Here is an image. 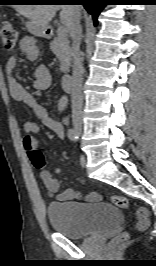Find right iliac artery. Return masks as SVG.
Wrapping results in <instances>:
<instances>
[{"instance_id":"obj_1","label":"right iliac artery","mask_w":156,"mask_h":266,"mask_svg":"<svg viewBox=\"0 0 156 266\" xmlns=\"http://www.w3.org/2000/svg\"><path fill=\"white\" fill-rule=\"evenodd\" d=\"M67 136L68 138L71 140V141H77L78 139V134L77 132L73 129V128H70L67 132Z\"/></svg>"}]
</instances>
